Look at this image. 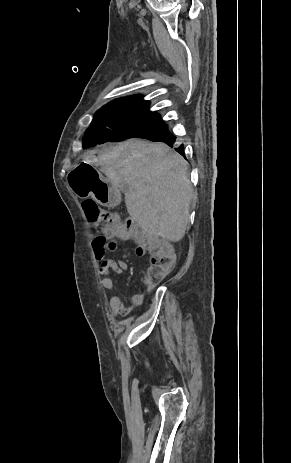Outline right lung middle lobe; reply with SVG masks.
<instances>
[{"label":"right lung middle lobe","instance_id":"dd1d6c3e","mask_svg":"<svg viewBox=\"0 0 291 463\" xmlns=\"http://www.w3.org/2000/svg\"><path fill=\"white\" fill-rule=\"evenodd\" d=\"M167 129L161 119L97 111L83 138V148L129 138H148Z\"/></svg>","mask_w":291,"mask_h":463}]
</instances>
